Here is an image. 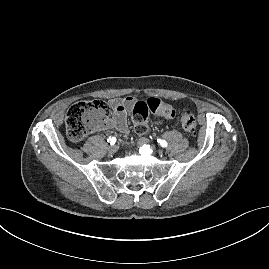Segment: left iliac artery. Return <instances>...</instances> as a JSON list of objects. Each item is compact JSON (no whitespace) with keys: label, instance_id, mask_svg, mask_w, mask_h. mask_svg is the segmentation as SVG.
Masks as SVG:
<instances>
[{"label":"left iliac artery","instance_id":"left-iliac-artery-1","mask_svg":"<svg viewBox=\"0 0 269 269\" xmlns=\"http://www.w3.org/2000/svg\"><path fill=\"white\" fill-rule=\"evenodd\" d=\"M157 142L162 146V147H167V142L163 139H157Z\"/></svg>","mask_w":269,"mask_h":269}]
</instances>
